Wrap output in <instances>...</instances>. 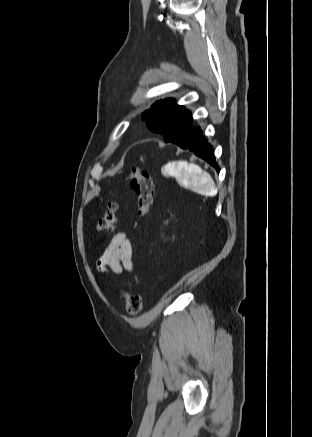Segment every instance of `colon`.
Listing matches in <instances>:
<instances>
[{"mask_svg": "<svg viewBox=\"0 0 312 437\" xmlns=\"http://www.w3.org/2000/svg\"><path fill=\"white\" fill-rule=\"evenodd\" d=\"M132 189L137 196V209L140 217H145L151 210L153 204L154 184L148 171L134 166L127 174ZM119 205L115 201L108 203L107 209L100 218L97 229L101 232L111 233L114 231L118 222ZM125 300L126 311L129 315L139 314L143 307L142 297L126 291L121 292Z\"/></svg>", "mask_w": 312, "mask_h": 437, "instance_id": "colon-1", "label": "colon"}]
</instances>
